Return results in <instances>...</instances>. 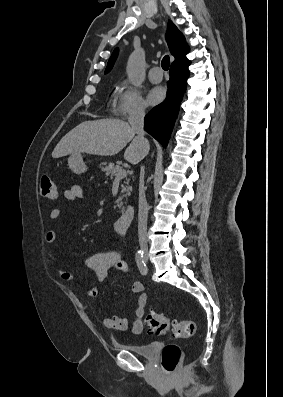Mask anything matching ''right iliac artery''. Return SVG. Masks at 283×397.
Instances as JSON below:
<instances>
[{"instance_id":"right-iliac-artery-1","label":"right iliac artery","mask_w":283,"mask_h":397,"mask_svg":"<svg viewBox=\"0 0 283 397\" xmlns=\"http://www.w3.org/2000/svg\"><path fill=\"white\" fill-rule=\"evenodd\" d=\"M136 263L139 268V271L142 275H146L147 273V267L146 264L143 260V252L142 251H137L136 253Z\"/></svg>"}]
</instances>
